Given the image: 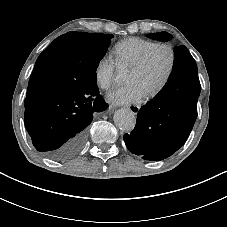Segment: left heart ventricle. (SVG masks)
I'll use <instances>...</instances> for the list:
<instances>
[{
    "label": "left heart ventricle",
    "instance_id": "left-heart-ventricle-1",
    "mask_svg": "<svg viewBox=\"0 0 227 227\" xmlns=\"http://www.w3.org/2000/svg\"><path fill=\"white\" fill-rule=\"evenodd\" d=\"M168 62V53L163 49H159L144 70L140 72L130 71L127 83L138 85L148 94L162 81L168 67Z\"/></svg>",
    "mask_w": 227,
    "mask_h": 227
}]
</instances>
